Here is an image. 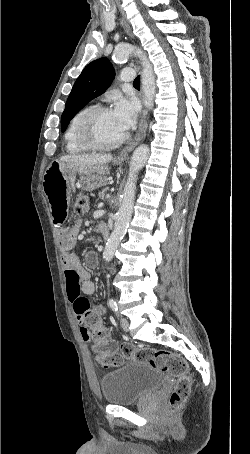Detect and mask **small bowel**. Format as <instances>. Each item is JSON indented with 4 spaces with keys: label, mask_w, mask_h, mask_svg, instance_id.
Instances as JSON below:
<instances>
[{
    "label": "small bowel",
    "mask_w": 250,
    "mask_h": 454,
    "mask_svg": "<svg viewBox=\"0 0 250 454\" xmlns=\"http://www.w3.org/2000/svg\"><path fill=\"white\" fill-rule=\"evenodd\" d=\"M76 189V177L72 172L48 171L44 180V191L48 198L54 224L61 226L67 218L68 205ZM79 227L76 224L70 230L60 234L62 264L66 281L67 295L73 305L74 313L81 324L80 334L85 341L91 339L88 320L92 316L103 317L104 308L93 305L85 296L91 295L95 286L90 280L88 271L81 265L76 256L71 253V247L77 238ZM86 259L90 264L97 261L94 252H88Z\"/></svg>",
    "instance_id": "c3829d8e"
}]
</instances>
